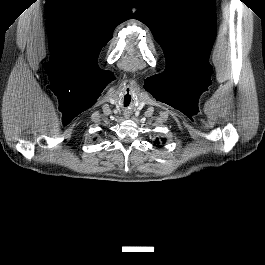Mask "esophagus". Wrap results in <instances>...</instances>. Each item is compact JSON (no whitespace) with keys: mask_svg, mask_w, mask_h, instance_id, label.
<instances>
[{"mask_svg":"<svg viewBox=\"0 0 265 265\" xmlns=\"http://www.w3.org/2000/svg\"><path fill=\"white\" fill-rule=\"evenodd\" d=\"M125 117H129V114L127 112L124 113Z\"/></svg>","mask_w":265,"mask_h":265,"instance_id":"esophagus-1","label":"esophagus"}]
</instances>
